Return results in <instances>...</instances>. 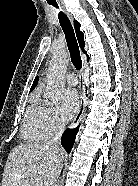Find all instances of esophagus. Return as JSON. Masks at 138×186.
Segmentation results:
<instances>
[{"instance_id": "esophagus-1", "label": "esophagus", "mask_w": 138, "mask_h": 186, "mask_svg": "<svg viewBox=\"0 0 138 186\" xmlns=\"http://www.w3.org/2000/svg\"><path fill=\"white\" fill-rule=\"evenodd\" d=\"M84 106H85L84 73L82 72V74H81V84H80V102H79V108H78V111H77V113H76L73 121L70 124V127H69L70 129L74 128L78 124L80 118L83 115Z\"/></svg>"}]
</instances>
